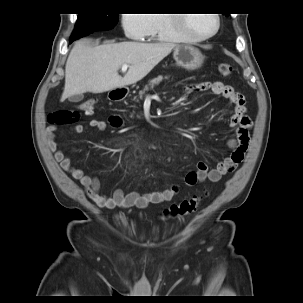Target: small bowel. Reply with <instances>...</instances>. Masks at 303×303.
<instances>
[{"instance_id": "1", "label": "small bowel", "mask_w": 303, "mask_h": 303, "mask_svg": "<svg viewBox=\"0 0 303 303\" xmlns=\"http://www.w3.org/2000/svg\"><path fill=\"white\" fill-rule=\"evenodd\" d=\"M185 90L188 92L210 90L213 94L220 95L228 99L233 105L234 114L230 119L229 125L232 128H235L236 134L235 137L229 141V146L232 148L229 157L212 169L209 168L206 161H199L196 165V170L191 171L186 175V184L188 186H194L198 182H203L205 180L217 183L224 175L236 170L238 165L243 161L245 152L247 151L252 121L247 115H245V99L243 95L235 91L232 86L225 85L221 82H213L212 84L205 82L193 83L187 85ZM88 125L100 132L108 130V124L103 120L91 119ZM113 125L118 126L119 122H114ZM73 130L78 133H82L84 132V127L78 124L73 127ZM55 131L56 129L54 127H48L46 129L49 150L52 152L55 160L60 164L61 168L70 173L81 184L88 197L98 206L107 209L116 207H136L138 209H144L150 204L169 202L178 195L179 186L176 184H173L169 188L161 191L145 193L135 191L125 193L122 189H116L111 195L102 193L100 191L99 182L72 165L66 153L59 148L54 137Z\"/></svg>"}]
</instances>
